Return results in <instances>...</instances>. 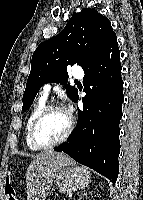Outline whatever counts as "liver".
<instances>
[{
    "label": "liver",
    "mask_w": 143,
    "mask_h": 200,
    "mask_svg": "<svg viewBox=\"0 0 143 200\" xmlns=\"http://www.w3.org/2000/svg\"><path fill=\"white\" fill-rule=\"evenodd\" d=\"M74 164L71 157L61 152L47 151L38 155L27 168V199L45 200L56 173L63 167Z\"/></svg>",
    "instance_id": "liver-1"
}]
</instances>
